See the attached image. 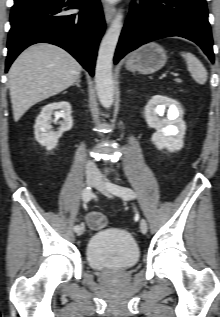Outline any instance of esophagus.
Listing matches in <instances>:
<instances>
[{
  "label": "esophagus",
  "mask_w": 220,
  "mask_h": 317,
  "mask_svg": "<svg viewBox=\"0 0 220 317\" xmlns=\"http://www.w3.org/2000/svg\"><path fill=\"white\" fill-rule=\"evenodd\" d=\"M116 9L115 7L105 3L104 4V15L107 23H110L115 16Z\"/></svg>",
  "instance_id": "esophagus-1"
}]
</instances>
